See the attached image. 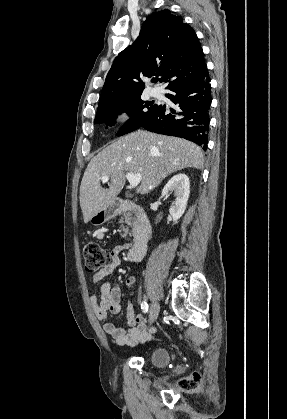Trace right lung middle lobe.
Listing matches in <instances>:
<instances>
[{
    "mask_svg": "<svg viewBox=\"0 0 287 419\" xmlns=\"http://www.w3.org/2000/svg\"><path fill=\"white\" fill-rule=\"evenodd\" d=\"M158 105L141 100L140 97L107 105L97 110L95 123L106 122L107 126L115 125L119 113L126 112L130 119L119 130L118 136L138 129L156 110Z\"/></svg>",
    "mask_w": 287,
    "mask_h": 419,
    "instance_id": "obj_1",
    "label": "right lung middle lobe"
}]
</instances>
